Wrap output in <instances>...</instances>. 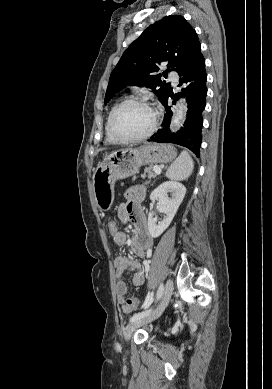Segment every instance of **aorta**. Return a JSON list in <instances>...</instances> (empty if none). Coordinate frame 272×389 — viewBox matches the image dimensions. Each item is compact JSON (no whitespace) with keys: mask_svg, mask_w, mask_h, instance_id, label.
Returning a JSON list of instances; mask_svg holds the SVG:
<instances>
[{"mask_svg":"<svg viewBox=\"0 0 272 389\" xmlns=\"http://www.w3.org/2000/svg\"><path fill=\"white\" fill-rule=\"evenodd\" d=\"M186 111H187V107L184 104V102L181 101L178 104L176 114L174 115L173 120L171 122L172 129H177L182 124V122L186 118Z\"/></svg>","mask_w":272,"mask_h":389,"instance_id":"762f6f07","label":"aorta"}]
</instances>
